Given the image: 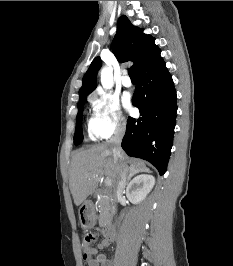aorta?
<instances>
[{
    "label": "aorta",
    "mask_w": 233,
    "mask_h": 266,
    "mask_svg": "<svg viewBox=\"0 0 233 266\" xmlns=\"http://www.w3.org/2000/svg\"><path fill=\"white\" fill-rule=\"evenodd\" d=\"M101 84L105 89H111L114 86L113 70L110 66L101 69Z\"/></svg>",
    "instance_id": "obj_1"
}]
</instances>
